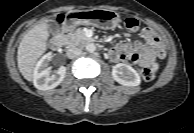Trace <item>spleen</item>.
<instances>
[{"mask_svg": "<svg viewBox=\"0 0 194 133\" xmlns=\"http://www.w3.org/2000/svg\"><path fill=\"white\" fill-rule=\"evenodd\" d=\"M157 69H158V64H157V63L153 64L152 70H153V71H156Z\"/></svg>", "mask_w": 194, "mask_h": 133, "instance_id": "spleen-1", "label": "spleen"}]
</instances>
